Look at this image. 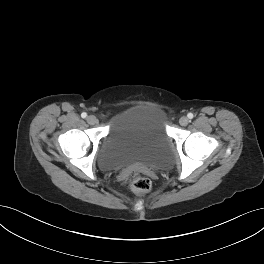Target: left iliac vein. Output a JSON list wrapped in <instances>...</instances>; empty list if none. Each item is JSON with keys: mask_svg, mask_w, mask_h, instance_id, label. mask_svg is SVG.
<instances>
[{"mask_svg": "<svg viewBox=\"0 0 264 264\" xmlns=\"http://www.w3.org/2000/svg\"><path fill=\"white\" fill-rule=\"evenodd\" d=\"M179 123H180L182 126H186V125H188V123H189V119H188L186 116H183V117L180 118Z\"/></svg>", "mask_w": 264, "mask_h": 264, "instance_id": "obj_1", "label": "left iliac vein"}]
</instances>
